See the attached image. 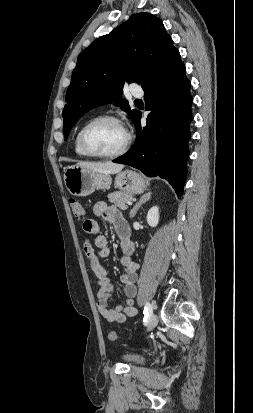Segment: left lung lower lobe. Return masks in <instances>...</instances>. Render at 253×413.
<instances>
[{"instance_id":"1","label":"left lung lower lobe","mask_w":253,"mask_h":413,"mask_svg":"<svg viewBox=\"0 0 253 413\" xmlns=\"http://www.w3.org/2000/svg\"><path fill=\"white\" fill-rule=\"evenodd\" d=\"M190 81L185 75L179 51L174 50L157 76L143 87L147 125L135 121L136 141L129 152L113 160L139 169L148 177L169 181L177 196L186 182L189 130L193 119Z\"/></svg>"}]
</instances>
